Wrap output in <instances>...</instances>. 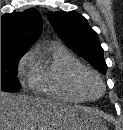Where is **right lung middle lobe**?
<instances>
[{
	"mask_svg": "<svg viewBox=\"0 0 123 130\" xmlns=\"http://www.w3.org/2000/svg\"><path fill=\"white\" fill-rule=\"evenodd\" d=\"M24 54L1 55V91L16 92L21 88L16 75L19 60Z\"/></svg>",
	"mask_w": 123,
	"mask_h": 130,
	"instance_id": "right-lung-middle-lobe-1",
	"label": "right lung middle lobe"
}]
</instances>
